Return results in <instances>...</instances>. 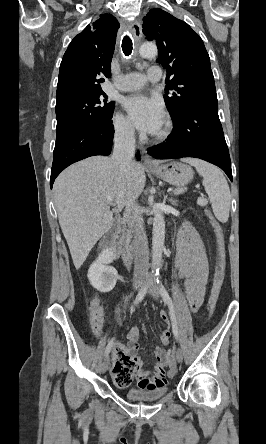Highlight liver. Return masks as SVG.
I'll list each match as a JSON object with an SVG mask.
<instances>
[{
  "instance_id": "liver-1",
  "label": "liver",
  "mask_w": 266,
  "mask_h": 444,
  "mask_svg": "<svg viewBox=\"0 0 266 444\" xmlns=\"http://www.w3.org/2000/svg\"><path fill=\"white\" fill-rule=\"evenodd\" d=\"M146 182L144 168L132 161L122 172L111 157L92 156L65 169L55 180L59 224L79 269L96 242L111 228L113 214L136 199ZM114 199L111 209L106 197Z\"/></svg>"
}]
</instances>
